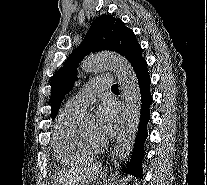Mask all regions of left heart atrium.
Listing matches in <instances>:
<instances>
[{
    "instance_id": "obj_1",
    "label": "left heart atrium",
    "mask_w": 207,
    "mask_h": 185,
    "mask_svg": "<svg viewBox=\"0 0 207 185\" xmlns=\"http://www.w3.org/2000/svg\"><path fill=\"white\" fill-rule=\"evenodd\" d=\"M119 126L118 108L110 101L98 106L96 110V131L104 139L112 138Z\"/></svg>"
}]
</instances>
